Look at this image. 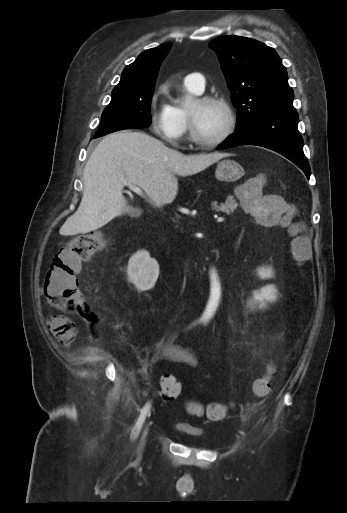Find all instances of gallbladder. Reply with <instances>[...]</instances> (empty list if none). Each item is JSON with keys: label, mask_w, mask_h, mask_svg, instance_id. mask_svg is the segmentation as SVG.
I'll list each match as a JSON object with an SVG mask.
<instances>
[{"label": "gallbladder", "mask_w": 347, "mask_h": 513, "mask_svg": "<svg viewBox=\"0 0 347 513\" xmlns=\"http://www.w3.org/2000/svg\"><path fill=\"white\" fill-rule=\"evenodd\" d=\"M127 212H128L129 214H134V213H135V212H134V210H132V209H128V210H127Z\"/></svg>", "instance_id": "1"}]
</instances>
